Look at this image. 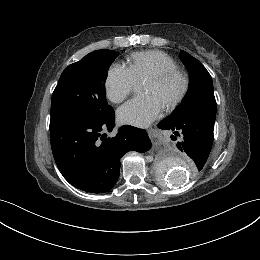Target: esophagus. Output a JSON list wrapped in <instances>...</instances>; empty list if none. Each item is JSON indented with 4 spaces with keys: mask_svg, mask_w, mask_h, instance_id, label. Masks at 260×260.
Wrapping results in <instances>:
<instances>
[{
    "mask_svg": "<svg viewBox=\"0 0 260 260\" xmlns=\"http://www.w3.org/2000/svg\"><path fill=\"white\" fill-rule=\"evenodd\" d=\"M159 134V129L157 127L149 128L148 129V135L151 138V140H154Z\"/></svg>",
    "mask_w": 260,
    "mask_h": 260,
    "instance_id": "obj_1",
    "label": "esophagus"
}]
</instances>
